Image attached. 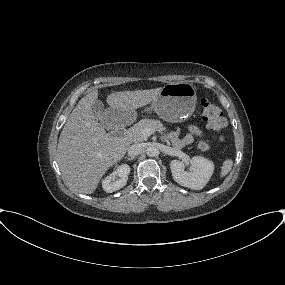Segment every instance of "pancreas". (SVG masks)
<instances>
[{"mask_svg":"<svg viewBox=\"0 0 285 285\" xmlns=\"http://www.w3.org/2000/svg\"><path fill=\"white\" fill-rule=\"evenodd\" d=\"M145 128H151L159 132L166 130L160 120L145 118L134 124L126 131L127 140L130 142H141L147 140V137L142 134V131Z\"/></svg>","mask_w":285,"mask_h":285,"instance_id":"cf45deb5","label":"pancreas"}]
</instances>
